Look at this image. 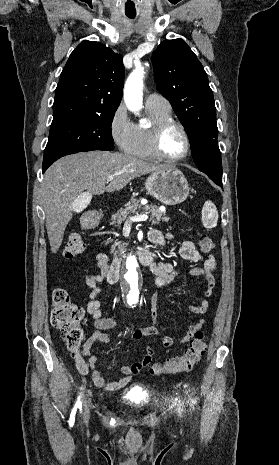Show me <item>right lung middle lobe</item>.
<instances>
[{
  "mask_svg": "<svg viewBox=\"0 0 279 465\" xmlns=\"http://www.w3.org/2000/svg\"><path fill=\"white\" fill-rule=\"evenodd\" d=\"M114 111L52 124L43 157V167L62 156L89 148L113 150L111 124Z\"/></svg>",
  "mask_w": 279,
  "mask_h": 465,
  "instance_id": "dd1d6c3e",
  "label": "right lung middle lobe"
}]
</instances>
